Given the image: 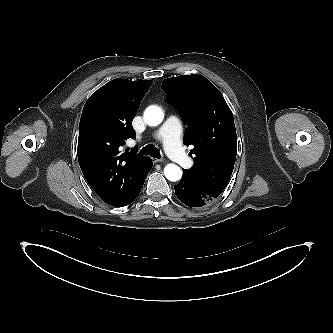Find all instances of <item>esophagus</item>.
<instances>
[{
	"instance_id": "esophagus-1",
	"label": "esophagus",
	"mask_w": 333,
	"mask_h": 333,
	"mask_svg": "<svg viewBox=\"0 0 333 333\" xmlns=\"http://www.w3.org/2000/svg\"><path fill=\"white\" fill-rule=\"evenodd\" d=\"M151 160H152L153 163H159V162H164L165 161L164 159L154 158V157H151Z\"/></svg>"
}]
</instances>
